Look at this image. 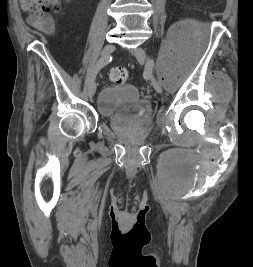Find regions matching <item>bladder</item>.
<instances>
[{"instance_id": "obj_1", "label": "bladder", "mask_w": 253, "mask_h": 267, "mask_svg": "<svg viewBox=\"0 0 253 267\" xmlns=\"http://www.w3.org/2000/svg\"><path fill=\"white\" fill-rule=\"evenodd\" d=\"M138 98L139 92L136 87L130 84H117L103 88L97 102L101 110H110L136 102Z\"/></svg>"}]
</instances>
